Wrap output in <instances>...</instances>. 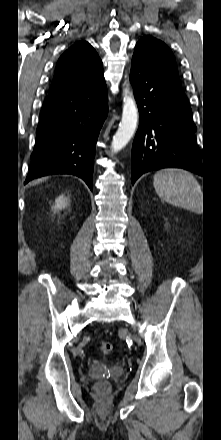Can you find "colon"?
<instances>
[{
    "label": "colon",
    "mask_w": 221,
    "mask_h": 440,
    "mask_svg": "<svg viewBox=\"0 0 221 440\" xmlns=\"http://www.w3.org/2000/svg\"><path fill=\"white\" fill-rule=\"evenodd\" d=\"M99 351L103 355H108L113 351V345L110 342H102L99 345ZM109 389L107 382H99L96 384V390L100 393H105Z\"/></svg>",
    "instance_id": "obj_1"
}]
</instances>
